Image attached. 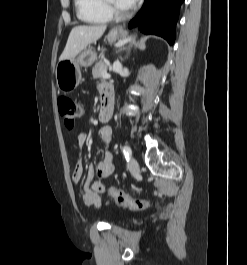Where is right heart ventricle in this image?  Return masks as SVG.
I'll return each mask as SVG.
<instances>
[{
  "mask_svg": "<svg viewBox=\"0 0 247 265\" xmlns=\"http://www.w3.org/2000/svg\"><path fill=\"white\" fill-rule=\"evenodd\" d=\"M78 17L87 23L104 24L111 20L105 0H75Z\"/></svg>",
  "mask_w": 247,
  "mask_h": 265,
  "instance_id": "e07e8e85",
  "label": "right heart ventricle"
}]
</instances>
